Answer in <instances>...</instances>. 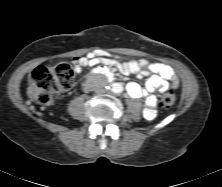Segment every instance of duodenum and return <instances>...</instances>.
Wrapping results in <instances>:
<instances>
[{
  "mask_svg": "<svg viewBox=\"0 0 222 187\" xmlns=\"http://www.w3.org/2000/svg\"><path fill=\"white\" fill-rule=\"evenodd\" d=\"M106 74L108 75L109 78H112V74L110 72H106Z\"/></svg>",
  "mask_w": 222,
  "mask_h": 187,
  "instance_id": "410a0bca",
  "label": "duodenum"
}]
</instances>
